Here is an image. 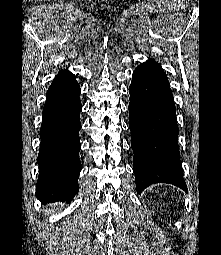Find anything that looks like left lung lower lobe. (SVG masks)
Returning <instances> with one entry per match:
<instances>
[{"label": "left lung lower lobe", "instance_id": "obj_1", "mask_svg": "<svg viewBox=\"0 0 221 255\" xmlns=\"http://www.w3.org/2000/svg\"><path fill=\"white\" fill-rule=\"evenodd\" d=\"M129 93L137 192L153 183H169L187 192L179 159L176 108L160 64L154 60L140 64L132 75Z\"/></svg>", "mask_w": 221, "mask_h": 255}]
</instances>
